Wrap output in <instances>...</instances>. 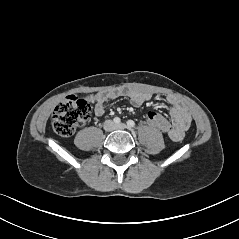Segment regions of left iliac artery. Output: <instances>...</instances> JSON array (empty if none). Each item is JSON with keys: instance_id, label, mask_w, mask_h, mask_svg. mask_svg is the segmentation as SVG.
<instances>
[{"instance_id": "left-iliac-artery-1", "label": "left iliac artery", "mask_w": 239, "mask_h": 239, "mask_svg": "<svg viewBox=\"0 0 239 239\" xmlns=\"http://www.w3.org/2000/svg\"><path fill=\"white\" fill-rule=\"evenodd\" d=\"M127 126H128V128H133L135 126V122L133 120H128Z\"/></svg>"}]
</instances>
